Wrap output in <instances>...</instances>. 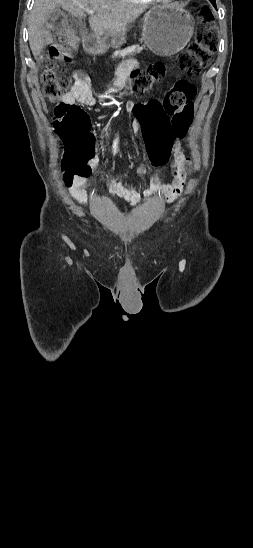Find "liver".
Returning <instances> with one entry per match:
<instances>
[{
	"label": "liver",
	"mask_w": 253,
	"mask_h": 548,
	"mask_svg": "<svg viewBox=\"0 0 253 548\" xmlns=\"http://www.w3.org/2000/svg\"><path fill=\"white\" fill-rule=\"evenodd\" d=\"M57 7L78 18L85 17L87 9L93 10L89 24L94 34L115 39L124 37L128 24L145 11L143 6L115 0H35L28 25L29 44L35 59L49 43V29L53 27L48 19Z\"/></svg>",
	"instance_id": "6515ba94"
}]
</instances>
